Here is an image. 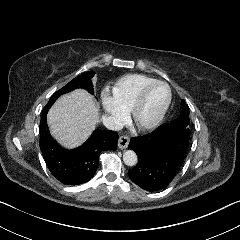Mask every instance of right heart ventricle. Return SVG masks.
<instances>
[{"label": "right heart ventricle", "mask_w": 240, "mask_h": 240, "mask_svg": "<svg viewBox=\"0 0 240 240\" xmlns=\"http://www.w3.org/2000/svg\"><path fill=\"white\" fill-rule=\"evenodd\" d=\"M154 81V79L143 75H126L106 87L104 103L122 112L128 111L143 88Z\"/></svg>", "instance_id": "obj_1"}]
</instances>
